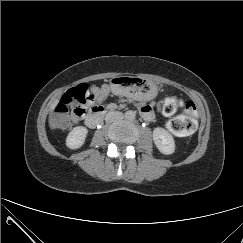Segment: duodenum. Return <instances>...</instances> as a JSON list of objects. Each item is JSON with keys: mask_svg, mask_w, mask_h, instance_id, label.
Listing matches in <instances>:
<instances>
[{"mask_svg": "<svg viewBox=\"0 0 243 243\" xmlns=\"http://www.w3.org/2000/svg\"><path fill=\"white\" fill-rule=\"evenodd\" d=\"M107 114V110L102 107H94L87 115L85 122L88 127L94 128L96 127Z\"/></svg>", "mask_w": 243, "mask_h": 243, "instance_id": "duodenum-1", "label": "duodenum"}]
</instances>
